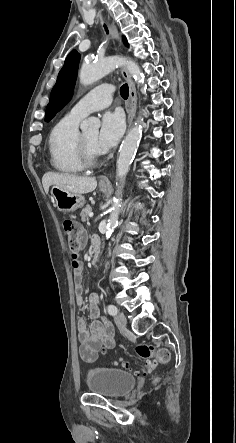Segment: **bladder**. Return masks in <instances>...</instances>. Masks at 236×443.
I'll use <instances>...</instances> for the list:
<instances>
[{"label":"bladder","instance_id":"1","mask_svg":"<svg viewBox=\"0 0 236 443\" xmlns=\"http://www.w3.org/2000/svg\"><path fill=\"white\" fill-rule=\"evenodd\" d=\"M135 383L134 375L116 368H92L88 370L86 375V386L89 392L108 398L125 395L134 387Z\"/></svg>","mask_w":236,"mask_h":443}]
</instances>
